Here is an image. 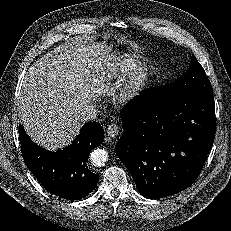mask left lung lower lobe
I'll use <instances>...</instances> for the list:
<instances>
[{
  "label": "left lung lower lobe",
  "mask_w": 231,
  "mask_h": 231,
  "mask_svg": "<svg viewBox=\"0 0 231 231\" xmlns=\"http://www.w3.org/2000/svg\"><path fill=\"white\" fill-rule=\"evenodd\" d=\"M149 91L120 112L124 133L115 146L138 191L158 199L176 194L199 176L213 146L214 96L196 93L163 103Z\"/></svg>",
  "instance_id": "left-lung-lower-lobe-1"
}]
</instances>
